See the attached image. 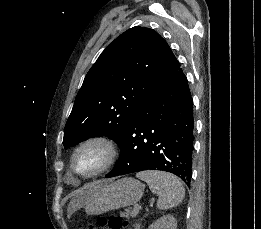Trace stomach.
<instances>
[{
  "mask_svg": "<svg viewBox=\"0 0 261 229\" xmlns=\"http://www.w3.org/2000/svg\"><path fill=\"white\" fill-rule=\"evenodd\" d=\"M144 185L132 177L118 181H94L86 185L84 201L87 215H103L114 209H122L138 203L143 197Z\"/></svg>",
  "mask_w": 261,
  "mask_h": 229,
  "instance_id": "0dacf381",
  "label": "stomach"
}]
</instances>
